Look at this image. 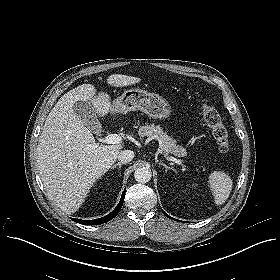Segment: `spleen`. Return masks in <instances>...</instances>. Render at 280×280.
<instances>
[{
  "mask_svg": "<svg viewBox=\"0 0 280 280\" xmlns=\"http://www.w3.org/2000/svg\"><path fill=\"white\" fill-rule=\"evenodd\" d=\"M209 183L215 203L217 205L223 204L232 190L233 181L231 177L223 171H214L210 175Z\"/></svg>",
  "mask_w": 280,
  "mask_h": 280,
  "instance_id": "spleen-1",
  "label": "spleen"
}]
</instances>
